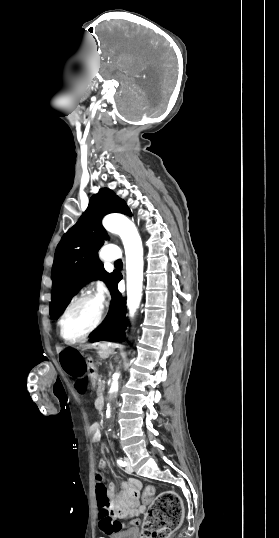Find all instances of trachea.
<instances>
[{"label":"trachea","mask_w":279,"mask_h":538,"mask_svg":"<svg viewBox=\"0 0 279 538\" xmlns=\"http://www.w3.org/2000/svg\"><path fill=\"white\" fill-rule=\"evenodd\" d=\"M114 264H122V261L121 260H116V262Z\"/></svg>","instance_id":"3493384b"}]
</instances>
